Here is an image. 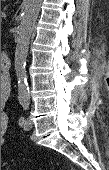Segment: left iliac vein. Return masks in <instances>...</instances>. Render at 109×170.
I'll list each match as a JSON object with an SVG mask.
<instances>
[{
	"instance_id": "4c4485c4",
	"label": "left iliac vein",
	"mask_w": 109,
	"mask_h": 170,
	"mask_svg": "<svg viewBox=\"0 0 109 170\" xmlns=\"http://www.w3.org/2000/svg\"><path fill=\"white\" fill-rule=\"evenodd\" d=\"M23 129L25 130H30L32 128V122L30 119H25L23 125H22Z\"/></svg>"
}]
</instances>
